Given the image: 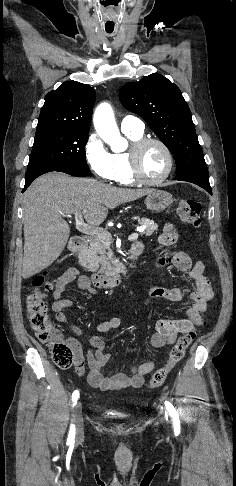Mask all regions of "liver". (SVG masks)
<instances>
[{"label":"liver","mask_w":236,"mask_h":486,"mask_svg":"<svg viewBox=\"0 0 236 486\" xmlns=\"http://www.w3.org/2000/svg\"><path fill=\"white\" fill-rule=\"evenodd\" d=\"M153 189L118 188L90 178L51 172L37 178L23 195L24 256L22 277L50 266L62 253L70 234L63 215L80 212L98 226L108 210L137 200Z\"/></svg>","instance_id":"6515ba94"}]
</instances>
